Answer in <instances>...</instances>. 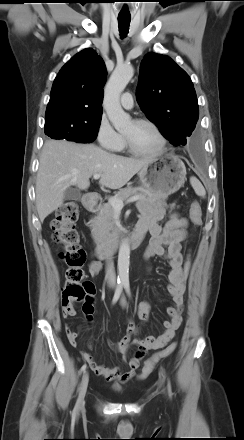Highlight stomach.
Wrapping results in <instances>:
<instances>
[{
    "label": "stomach",
    "mask_w": 244,
    "mask_h": 440,
    "mask_svg": "<svg viewBox=\"0 0 244 440\" xmlns=\"http://www.w3.org/2000/svg\"><path fill=\"white\" fill-rule=\"evenodd\" d=\"M138 176L142 188L148 193L167 197L184 184L186 167L177 156L167 154L153 159Z\"/></svg>",
    "instance_id": "stomach-1"
}]
</instances>
